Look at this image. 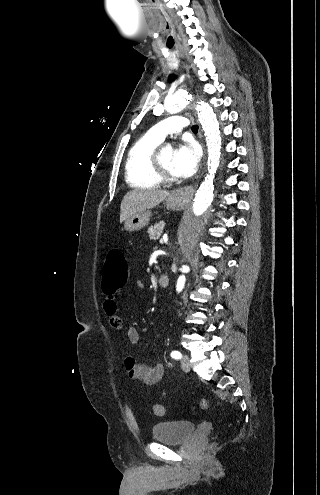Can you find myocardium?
Listing matches in <instances>:
<instances>
[{"label": "myocardium", "instance_id": "myocardium-1", "mask_svg": "<svg viewBox=\"0 0 320 495\" xmlns=\"http://www.w3.org/2000/svg\"><path fill=\"white\" fill-rule=\"evenodd\" d=\"M162 147L158 146L152 154V165L154 172L160 178V180H172L171 173L163 166L161 161Z\"/></svg>", "mask_w": 320, "mask_h": 495}]
</instances>
